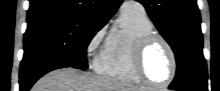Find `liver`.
I'll list each match as a JSON object with an SVG mask.
<instances>
[{
	"label": "liver",
	"instance_id": "obj_1",
	"mask_svg": "<svg viewBox=\"0 0 220 91\" xmlns=\"http://www.w3.org/2000/svg\"><path fill=\"white\" fill-rule=\"evenodd\" d=\"M31 91H142L128 82L62 68L40 78Z\"/></svg>",
	"mask_w": 220,
	"mask_h": 91
}]
</instances>
